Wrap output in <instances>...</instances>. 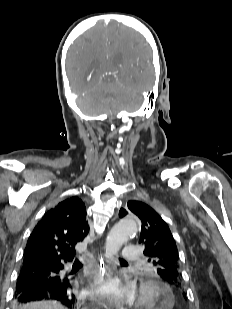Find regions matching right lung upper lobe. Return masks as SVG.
I'll return each mask as SVG.
<instances>
[{
	"instance_id": "cb5924a9",
	"label": "right lung upper lobe",
	"mask_w": 232,
	"mask_h": 309,
	"mask_svg": "<svg viewBox=\"0 0 232 309\" xmlns=\"http://www.w3.org/2000/svg\"><path fill=\"white\" fill-rule=\"evenodd\" d=\"M88 232L84 203L77 197L66 199L37 223L27 241L23 263L36 264L41 271L62 268L74 259L75 245Z\"/></svg>"
}]
</instances>
